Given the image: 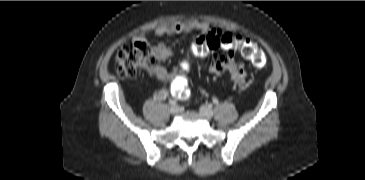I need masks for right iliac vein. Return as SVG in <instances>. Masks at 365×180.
I'll list each match as a JSON object with an SVG mask.
<instances>
[{"label":"right iliac vein","mask_w":365,"mask_h":180,"mask_svg":"<svg viewBox=\"0 0 365 180\" xmlns=\"http://www.w3.org/2000/svg\"><path fill=\"white\" fill-rule=\"evenodd\" d=\"M179 111H180V109H179V107L178 106H172L171 108H170V113L172 114V115H175V114H177V113H179Z\"/></svg>","instance_id":"63e3f726"}]
</instances>
